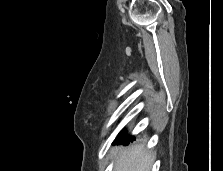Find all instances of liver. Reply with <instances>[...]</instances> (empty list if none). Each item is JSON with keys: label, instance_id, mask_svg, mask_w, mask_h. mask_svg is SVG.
<instances>
[{"label": "liver", "instance_id": "6515ba94", "mask_svg": "<svg viewBox=\"0 0 223 171\" xmlns=\"http://www.w3.org/2000/svg\"><path fill=\"white\" fill-rule=\"evenodd\" d=\"M118 148L112 150L116 155ZM156 154L145 151L144 144L126 147L116 160L114 171H150Z\"/></svg>", "mask_w": 223, "mask_h": 171}]
</instances>
